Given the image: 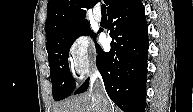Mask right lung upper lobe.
I'll return each mask as SVG.
<instances>
[{
    "mask_svg": "<svg viewBox=\"0 0 193 112\" xmlns=\"http://www.w3.org/2000/svg\"><path fill=\"white\" fill-rule=\"evenodd\" d=\"M124 0H104L107 13L112 12ZM97 0H49L48 17L45 23L47 43L59 33L77 26L88 24L83 8L93 7Z\"/></svg>",
    "mask_w": 193,
    "mask_h": 112,
    "instance_id": "cb5924a9",
    "label": "right lung upper lobe"
}]
</instances>
